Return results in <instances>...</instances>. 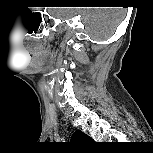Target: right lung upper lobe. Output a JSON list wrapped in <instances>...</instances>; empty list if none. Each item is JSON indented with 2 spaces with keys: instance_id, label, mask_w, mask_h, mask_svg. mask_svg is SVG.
<instances>
[{
  "instance_id": "right-lung-upper-lobe-1",
  "label": "right lung upper lobe",
  "mask_w": 153,
  "mask_h": 153,
  "mask_svg": "<svg viewBox=\"0 0 153 153\" xmlns=\"http://www.w3.org/2000/svg\"><path fill=\"white\" fill-rule=\"evenodd\" d=\"M71 141H80V142H83V143H88V142H92L93 140L87 136L86 134H84L82 131L80 130H77L73 136H72V139Z\"/></svg>"
}]
</instances>
